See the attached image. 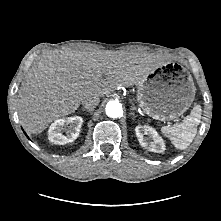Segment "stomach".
<instances>
[{
    "label": "stomach",
    "mask_w": 221,
    "mask_h": 221,
    "mask_svg": "<svg viewBox=\"0 0 221 221\" xmlns=\"http://www.w3.org/2000/svg\"><path fill=\"white\" fill-rule=\"evenodd\" d=\"M195 91L191 75L184 70L157 67L137 83V101L150 117L173 120L189 109Z\"/></svg>",
    "instance_id": "obj_1"
}]
</instances>
